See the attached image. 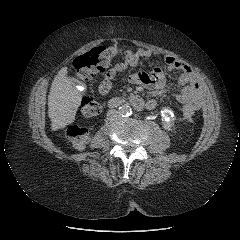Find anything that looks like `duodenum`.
<instances>
[{
  "label": "duodenum",
  "mask_w": 240,
  "mask_h": 240,
  "mask_svg": "<svg viewBox=\"0 0 240 240\" xmlns=\"http://www.w3.org/2000/svg\"><path fill=\"white\" fill-rule=\"evenodd\" d=\"M125 103H129L137 110H143L147 107L146 103L143 101V99L137 95H130L126 98L124 97H116L110 100L109 107L110 108H116L119 107Z\"/></svg>",
  "instance_id": "obj_1"
}]
</instances>
